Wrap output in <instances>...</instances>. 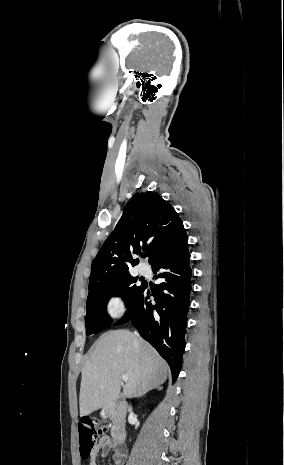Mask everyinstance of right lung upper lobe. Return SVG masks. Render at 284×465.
Returning a JSON list of instances; mask_svg holds the SVG:
<instances>
[{"label":"right lung upper lobe","instance_id":"right-lung-upper-lobe-1","mask_svg":"<svg viewBox=\"0 0 284 465\" xmlns=\"http://www.w3.org/2000/svg\"><path fill=\"white\" fill-rule=\"evenodd\" d=\"M186 238L182 220L159 194L148 191L133 195L93 260L89 291L129 276V269L138 263L133 254L147 252L152 266Z\"/></svg>","mask_w":284,"mask_h":465}]
</instances>
